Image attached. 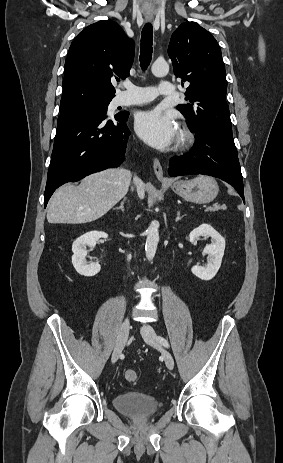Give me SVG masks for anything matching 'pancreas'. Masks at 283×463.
I'll return each instance as SVG.
<instances>
[{"label":"pancreas","instance_id":"obj_1","mask_svg":"<svg viewBox=\"0 0 283 463\" xmlns=\"http://www.w3.org/2000/svg\"><path fill=\"white\" fill-rule=\"evenodd\" d=\"M219 209H222V207L214 206V207L209 208L208 211H216V210H219Z\"/></svg>","mask_w":283,"mask_h":463}]
</instances>
